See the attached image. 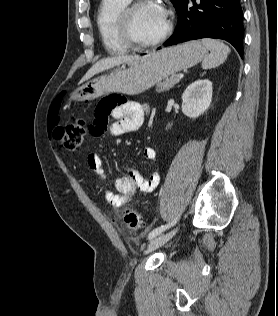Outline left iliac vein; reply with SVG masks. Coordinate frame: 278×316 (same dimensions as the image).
Instances as JSON below:
<instances>
[{
    "label": "left iliac vein",
    "mask_w": 278,
    "mask_h": 316,
    "mask_svg": "<svg viewBox=\"0 0 278 316\" xmlns=\"http://www.w3.org/2000/svg\"><path fill=\"white\" fill-rule=\"evenodd\" d=\"M177 228L157 236L156 238L152 239L147 247L146 253L152 252L156 249H158L159 247L163 246L166 242H168L177 232Z\"/></svg>",
    "instance_id": "obj_1"
}]
</instances>
